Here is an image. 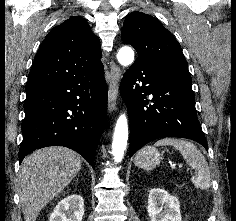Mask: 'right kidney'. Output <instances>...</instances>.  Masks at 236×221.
Here are the masks:
<instances>
[{
  "instance_id": "ca27d5eb",
  "label": "right kidney",
  "mask_w": 236,
  "mask_h": 221,
  "mask_svg": "<svg viewBox=\"0 0 236 221\" xmlns=\"http://www.w3.org/2000/svg\"><path fill=\"white\" fill-rule=\"evenodd\" d=\"M83 215V198L80 195L72 194L56 205L49 221H82Z\"/></svg>"
}]
</instances>
